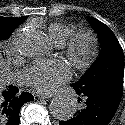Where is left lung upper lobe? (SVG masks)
Instances as JSON below:
<instances>
[{"mask_svg": "<svg viewBox=\"0 0 125 125\" xmlns=\"http://www.w3.org/2000/svg\"><path fill=\"white\" fill-rule=\"evenodd\" d=\"M93 28L98 31L101 53L86 74L72 86L82 94L106 89L123 90L124 54L111 29L99 20L88 17Z\"/></svg>", "mask_w": 125, "mask_h": 125, "instance_id": "obj_1", "label": "left lung upper lobe"}]
</instances>
